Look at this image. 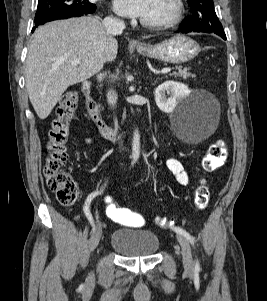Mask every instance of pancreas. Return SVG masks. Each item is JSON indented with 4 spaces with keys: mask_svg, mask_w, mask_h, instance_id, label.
Returning a JSON list of instances; mask_svg holds the SVG:
<instances>
[{
    "mask_svg": "<svg viewBox=\"0 0 267 301\" xmlns=\"http://www.w3.org/2000/svg\"><path fill=\"white\" fill-rule=\"evenodd\" d=\"M172 75L174 77H182L183 79H188L190 77H194V75L189 72L188 68L182 69L181 67L177 68V71H174L172 73Z\"/></svg>",
    "mask_w": 267,
    "mask_h": 301,
    "instance_id": "1",
    "label": "pancreas"
}]
</instances>
